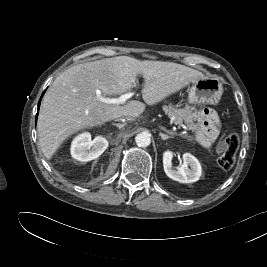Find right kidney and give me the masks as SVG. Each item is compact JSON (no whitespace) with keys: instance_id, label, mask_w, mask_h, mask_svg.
Returning a JSON list of instances; mask_svg holds the SVG:
<instances>
[{"instance_id":"obj_1","label":"right kidney","mask_w":267,"mask_h":267,"mask_svg":"<svg viewBox=\"0 0 267 267\" xmlns=\"http://www.w3.org/2000/svg\"><path fill=\"white\" fill-rule=\"evenodd\" d=\"M108 147V141L97 136L93 140L88 132L76 136L71 144V155L81 162H88L98 158Z\"/></svg>"}]
</instances>
